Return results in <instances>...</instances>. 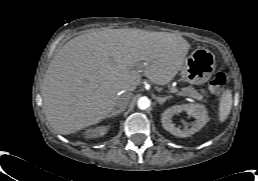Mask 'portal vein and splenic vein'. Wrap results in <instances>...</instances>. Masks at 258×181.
<instances>
[{
  "label": "portal vein and splenic vein",
  "instance_id": "18ae733b",
  "mask_svg": "<svg viewBox=\"0 0 258 181\" xmlns=\"http://www.w3.org/2000/svg\"><path fill=\"white\" fill-rule=\"evenodd\" d=\"M172 93H178V90L177 89H171L170 90Z\"/></svg>",
  "mask_w": 258,
  "mask_h": 181
}]
</instances>
